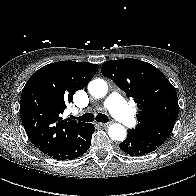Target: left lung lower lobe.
Returning <instances> with one entry per match:
<instances>
[{
    "instance_id": "obj_1",
    "label": "left lung lower lobe",
    "mask_w": 196,
    "mask_h": 196,
    "mask_svg": "<svg viewBox=\"0 0 196 196\" xmlns=\"http://www.w3.org/2000/svg\"><path fill=\"white\" fill-rule=\"evenodd\" d=\"M120 149L130 156H143L153 152L157 147L140 140L135 135L128 133L127 138L120 143Z\"/></svg>"
}]
</instances>
